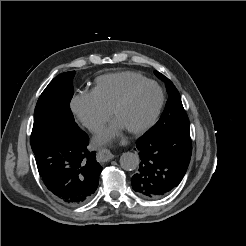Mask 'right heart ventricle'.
<instances>
[{
	"mask_svg": "<svg viewBox=\"0 0 246 246\" xmlns=\"http://www.w3.org/2000/svg\"><path fill=\"white\" fill-rule=\"evenodd\" d=\"M145 80L143 75L132 71L108 73L96 78L91 92L102 107L112 111L129 88Z\"/></svg>",
	"mask_w": 246,
	"mask_h": 246,
	"instance_id": "e07e8e85",
	"label": "right heart ventricle"
}]
</instances>
